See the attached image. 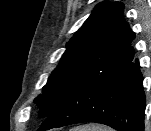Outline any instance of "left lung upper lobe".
Listing matches in <instances>:
<instances>
[{
	"mask_svg": "<svg viewBox=\"0 0 151 131\" xmlns=\"http://www.w3.org/2000/svg\"><path fill=\"white\" fill-rule=\"evenodd\" d=\"M123 11L121 2H102L95 7L67 43V50L42 88V94L35 98L40 117H48L90 69H110L133 59L131 42L135 34L125 22Z\"/></svg>",
	"mask_w": 151,
	"mask_h": 131,
	"instance_id": "obj_1",
	"label": "left lung upper lobe"
}]
</instances>
